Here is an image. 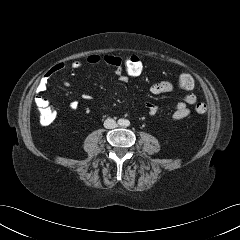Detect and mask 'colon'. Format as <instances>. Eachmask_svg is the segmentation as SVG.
Masks as SVG:
<instances>
[{"label":"colon","instance_id":"5ec220e1","mask_svg":"<svg viewBox=\"0 0 240 240\" xmlns=\"http://www.w3.org/2000/svg\"><path fill=\"white\" fill-rule=\"evenodd\" d=\"M113 64L119 66V68L127 77L140 76L144 71L143 61L137 55L114 60ZM177 84L182 90H192L195 82L192 75L184 73L179 76ZM195 111L199 114L205 113L207 111L206 104L198 103L195 106ZM55 119L56 111L53 108L49 107L48 105L39 106V120L42 125H50Z\"/></svg>","mask_w":240,"mask_h":240}]
</instances>
